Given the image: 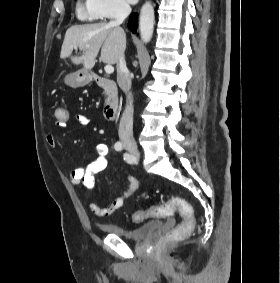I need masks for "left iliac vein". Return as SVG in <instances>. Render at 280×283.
I'll return each instance as SVG.
<instances>
[{"label": "left iliac vein", "instance_id": "left-iliac-vein-1", "mask_svg": "<svg viewBox=\"0 0 280 283\" xmlns=\"http://www.w3.org/2000/svg\"><path fill=\"white\" fill-rule=\"evenodd\" d=\"M131 153V157H132V162H137L138 158H139V151L137 149H132L130 151Z\"/></svg>", "mask_w": 280, "mask_h": 283}]
</instances>
